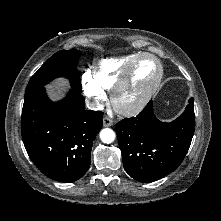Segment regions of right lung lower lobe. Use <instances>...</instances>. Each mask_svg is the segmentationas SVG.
<instances>
[{"instance_id": "98d812e1", "label": "right lung lower lobe", "mask_w": 221, "mask_h": 221, "mask_svg": "<svg viewBox=\"0 0 221 221\" xmlns=\"http://www.w3.org/2000/svg\"><path fill=\"white\" fill-rule=\"evenodd\" d=\"M102 116L101 111L85 110L84 98L75 89L59 102H52L44 88L26 96L21 132L30 159L55 181H77L90 167Z\"/></svg>"}]
</instances>
